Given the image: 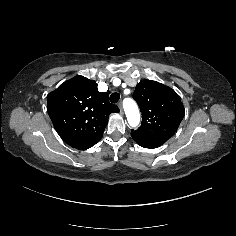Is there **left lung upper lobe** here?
<instances>
[{"label": "left lung upper lobe", "instance_id": "1", "mask_svg": "<svg viewBox=\"0 0 236 236\" xmlns=\"http://www.w3.org/2000/svg\"><path fill=\"white\" fill-rule=\"evenodd\" d=\"M133 98L142 112V124L132 133L143 138L168 140L184 117V107L177 93L151 80L137 84Z\"/></svg>", "mask_w": 236, "mask_h": 236}]
</instances>
